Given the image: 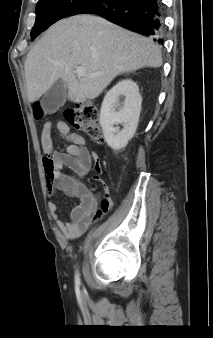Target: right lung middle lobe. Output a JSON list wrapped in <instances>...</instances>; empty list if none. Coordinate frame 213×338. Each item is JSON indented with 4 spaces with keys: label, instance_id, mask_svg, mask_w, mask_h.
I'll return each instance as SVG.
<instances>
[{
    "label": "right lung middle lobe",
    "instance_id": "1",
    "mask_svg": "<svg viewBox=\"0 0 213 338\" xmlns=\"http://www.w3.org/2000/svg\"><path fill=\"white\" fill-rule=\"evenodd\" d=\"M92 0H39L36 21L31 31L32 40L58 20L72 15L74 11Z\"/></svg>",
    "mask_w": 213,
    "mask_h": 338
}]
</instances>
